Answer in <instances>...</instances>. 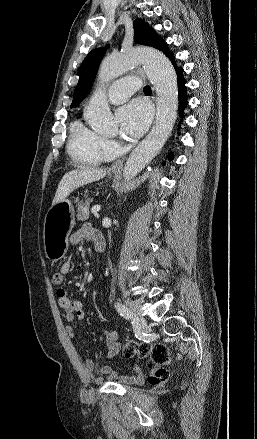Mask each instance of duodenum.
<instances>
[{"label": "duodenum", "mask_w": 257, "mask_h": 439, "mask_svg": "<svg viewBox=\"0 0 257 439\" xmlns=\"http://www.w3.org/2000/svg\"><path fill=\"white\" fill-rule=\"evenodd\" d=\"M94 247H95V250L98 253H100V252H102L104 250L105 244H104L103 240H97L95 245H94Z\"/></svg>", "instance_id": "410a0bca"}]
</instances>
